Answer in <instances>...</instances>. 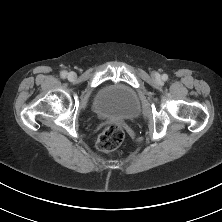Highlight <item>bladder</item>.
<instances>
[{"label":"bladder","mask_w":222,"mask_h":222,"mask_svg":"<svg viewBox=\"0 0 222 222\" xmlns=\"http://www.w3.org/2000/svg\"><path fill=\"white\" fill-rule=\"evenodd\" d=\"M92 108L102 119H131L140 111V103L133 89L123 84H113L101 90Z\"/></svg>","instance_id":"31cf9c89"}]
</instances>
